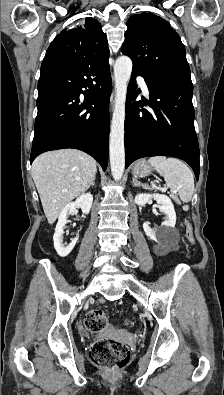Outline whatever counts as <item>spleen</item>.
<instances>
[{
  "instance_id": "1",
  "label": "spleen",
  "mask_w": 224,
  "mask_h": 395,
  "mask_svg": "<svg viewBox=\"0 0 224 395\" xmlns=\"http://www.w3.org/2000/svg\"><path fill=\"white\" fill-rule=\"evenodd\" d=\"M148 162L164 177L167 186L178 192L182 202L188 203L194 193V175L181 160L165 156L151 157Z\"/></svg>"
}]
</instances>
